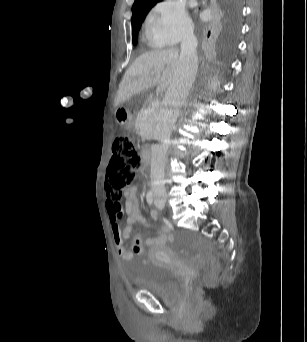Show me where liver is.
Instances as JSON below:
<instances>
[{
	"mask_svg": "<svg viewBox=\"0 0 307 342\" xmlns=\"http://www.w3.org/2000/svg\"><path fill=\"white\" fill-rule=\"evenodd\" d=\"M178 52L177 48H168V50L145 52L138 56L132 66L126 70L119 84L115 106L126 102L135 94L154 88L157 84L158 92H165L170 88L179 66ZM152 72H154L153 76ZM208 82L212 90H216L220 84L217 78H212Z\"/></svg>",
	"mask_w": 307,
	"mask_h": 342,
	"instance_id": "liver-1",
	"label": "liver"
}]
</instances>
